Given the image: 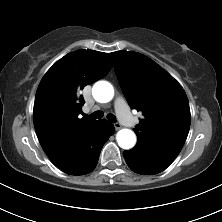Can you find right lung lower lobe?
Wrapping results in <instances>:
<instances>
[{"mask_svg":"<svg viewBox=\"0 0 222 222\" xmlns=\"http://www.w3.org/2000/svg\"><path fill=\"white\" fill-rule=\"evenodd\" d=\"M113 125L105 119L100 120V123L89 134L87 140L88 152L83 161L75 167L65 170L67 174L84 175L94 170L97 165L101 149L108 138L114 133Z\"/></svg>","mask_w":222,"mask_h":222,"instance_id":"obj_1","label":"right lung lower lobe"}]
</instances>
